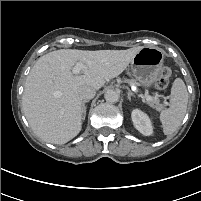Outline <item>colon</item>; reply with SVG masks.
I'll list each match as a JSON object with an SVG mask.
<instances>
[{
  "label": "colon",
  "mask_w": 201,
  "mask_h": 201,
  "mask_svg": "<svg viewBox=\"0 0 201 201\" xmlns=\"http://www.w3.org/2000/svg\"><path fill=\"white\" fill-rule=\"evenodd\" d=\"M170 76H171V68L165 66L161 70V73L156 81V88L158 90H165L169 85Z\"/></svg>",
  "instance_id": "5ec220e1"
}]
</instances>
